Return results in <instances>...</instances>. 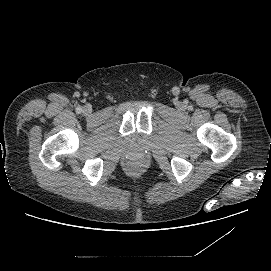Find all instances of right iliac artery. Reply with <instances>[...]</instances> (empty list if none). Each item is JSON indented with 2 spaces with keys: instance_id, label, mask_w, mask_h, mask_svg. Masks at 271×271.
<instances>
[{
  "instance_id": "1",
  "label": "right iliac artery",
  "mask_w": 271,
  "mask_h": 271,
  "mask_svg": "<svg viewBox=\"0 0 271 271\" xmlns=\"http://www.w3.org/2000/svg\"><path fill=\"white\" fill-rule=\"evenodd\" d=\"M81 111H82V108H81V107H77V108H76V112H77V113H81Z\"/></svg>"
}]
</instances>
